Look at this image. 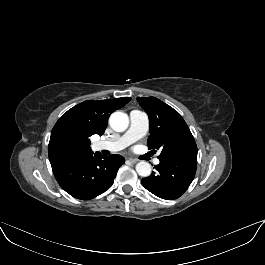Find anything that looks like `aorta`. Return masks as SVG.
<instances>
[{
    "label": "aorta",
    "mask_w": 265,
    "mask_h": 265,
    "mask_svg": "<svg viewBox=\"0 0 265 265\" xmlns=\"http://www.w3.org/2000/svg\"><path fill=\"white\" fill-rule=\"evenodd\" d=\"M111 128L117 132L125 131L129 126V117L126 113L116 111L109 118ZM137 173L142 177H148L151 174V165L146 161H141L136 165Z\"/></svg>",
    "instance_id": "1"
}]
</instances>
